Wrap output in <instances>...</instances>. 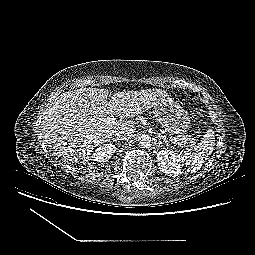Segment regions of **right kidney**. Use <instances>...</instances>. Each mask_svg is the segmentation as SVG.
I'll return each mask as SVG.
<instances>
[{
  "label": "right kidney",
  "mask_w": 255,
  "mask_h": 255,
  "mask_svg": "<svg viewBox=\"0 0 255 255\" xmlns=\"http://www.w3.org/2000/svg\"><path fill=\"white\" fill-rule=\"evenodd\" d=\"M116 152V146L113 144H104L93 151L91 155V160L97 162H106L108 161L113 154Z\"/></svg>",
  "instance_id": "1"
}]
</instances>
